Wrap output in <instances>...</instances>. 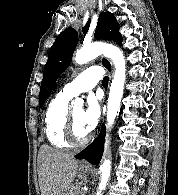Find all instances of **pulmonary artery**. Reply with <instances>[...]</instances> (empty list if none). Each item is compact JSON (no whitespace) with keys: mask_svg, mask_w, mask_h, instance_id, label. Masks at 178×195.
<instances>
[{"mask_svg":"<svg viewBox=\"0 0 178 195\" xmlns=\"http://www.w3.org/2000/svg\"><path fill=\"white\" fill-rule=\"evenodd\" d=\"M103 75L100 66H92L80 73L60 91L64 96L73 98L82 92H86L96 86Z\"/></svg>","mask_w":178,"mask_h":195,"instance_id":"pulmonary-artery-1","label":"pulmonary artery"}]
</instances>
